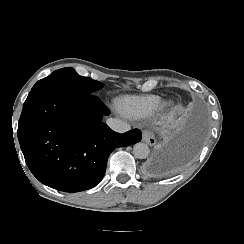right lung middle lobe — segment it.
<instances>
[{
	"label": "right lung middle lobe",
	"mask_w": 244,
	"mask_h": 244,
	"mask_svg": "<svg viewBox=\"0 0 244 244\" xmlns=\"http://www.w3.org/2000/svg\"><path fill=\"white\" fill-rule=\"evenodd\" d=\"M103 84L88 77H82L73 68L59 69L48 77L39 80L31 91L38 89H70L84 94H93L100 90Z\"/></svg>",
	"instance_id": "1"
}]
</instances>
